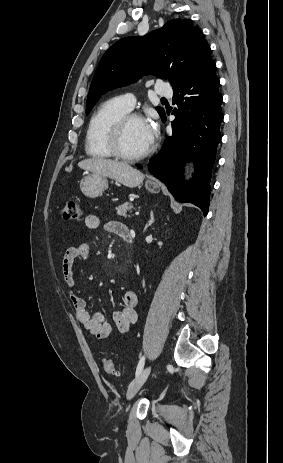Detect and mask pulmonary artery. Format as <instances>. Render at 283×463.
<instances>
[{
	"instance_id": "pulmonary-artery-1",
	"label": "pulmonary artery",
	"mask_w": 283,
	"mask_h": 463,
	"mask_svg": "<svg viewBox=\"0 0 283 463\" xmlns=\"http://www.w3.org/2000/svg\"><path fill=\"white\" fill-rule=\"evenodd\" d=\"M156 94L161 98H171L173 96V90L166 86L163 83L156 84L155 86ZM122 104L128 109H133L135 105L136 98L132 93H127L120 96Z\"/></svg>"
}]
</instances>
